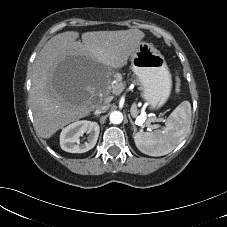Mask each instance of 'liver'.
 <instances>
[{"instance_id": "6515ba94", "label": "liver", "mask_w": 227, "mask_h": 227, "mask_svg": "<svg viewBox=\"0 0 227 227\" xmlns=\"http://www.w3.org/2000/svg\"><path fill=\"white\" fill-rule=\"evenodd\" d=\"M78 37L79 33L75 31L55 35L34 61L30 102L34 128L42 138H50L65 125L90 114L95 107L91 102L95 93L109 94V88L94 77L95 65L122 68L145 34L138 29L85 32L82 43L76 41ZM68 54L82 57L89 68L88 87L75 98L61 95L53 84L55 65Z\"/></svg>"}]
</instances>
